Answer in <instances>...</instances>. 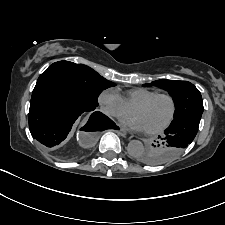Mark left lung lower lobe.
I'll list each match as a JSON object with an SVG mask.
<instances>
[{
	"instance_id": "obj_1",
	"label": "left lung lower lobe",
	"mask_w": 225,
	"mask_h": 225,
	"mask_svg": "<svg viewBox=\"0 0 225 225\" xmlns=\"http://www.w3.org/2000/svg\"><path fill=\"white\" fill-rule=\"evenodd\" d=\"M200 120V114H193L171 123L161 137L169 141L167 145L170 150L156 154L153 157L154 165L163 164L178 156L195 138Z\"/></svg>"
}]
</instances>
